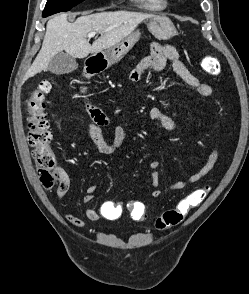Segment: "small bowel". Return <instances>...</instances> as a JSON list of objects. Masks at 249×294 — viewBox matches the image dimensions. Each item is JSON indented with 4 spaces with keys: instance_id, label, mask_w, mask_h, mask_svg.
<instances>
[{
    "instance_id": "obj_1",
    "label": "small bowel",
    "mask_w": 249,
    "mask_h": 294,
    "mask_svg": "<svg viewBox=\"0 0 249 294\" xmlns=\"http://www.w3.org/2000/svg\"><path fill=\"white\" fill-rule=\"evenodd\" d=\"M149 55L144 57L131 72L130 79L132 82H138L145 70L162 71L167 61L171 62L173 71L190 87L196 89L198 95L202 98L209 97L212 94V88L202 82L198 77L192 74L180 58L179 53L170 45H161L152 42L148 46ZM149 117L152 121L158 123L169 132H177L180 130V125L165 114L159 107H151ZM109 125V119L106 115L93 118V123L86 127L87 134L94 140L98 151L103 155H111L118 151L127 138V132L122 126H116L113 132L111 142L104 141L101 130ZM218 158L217 147L214 146L207 158L205 164L195 173L185 179L179 180L170 184L165 188H160V173L159 162L152 160L149 164L153 198H159L163 194L172 191L183 190L190 185L204 178L214 167ZM62 171V170H61ZM97 185L91 184L86 188V193L83 196L84 203H90L94 198V193L97 191ZM70 190L69 176L62 171V177L59 186L56 190L58 201H63ZM114 208V203L111 201H103L99 208L90 207L86 209L85 216L89 221H97L100 218L108 220L117 219L111 215ZM68 223L82 228L85 226L84 220L68 212L65 215Z\"/></svg>"
}]
</instances>
